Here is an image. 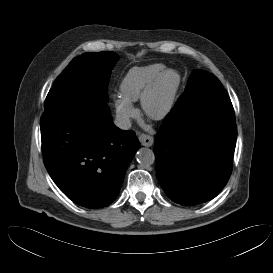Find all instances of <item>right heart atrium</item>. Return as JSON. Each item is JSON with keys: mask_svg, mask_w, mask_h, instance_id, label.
Returning a JSON list of instances; mask_svg holds the SVG:
<instances>
[{"mask_svg": "<svg viewBox=\"0 0 273 273\" xmlns=\"http://www.w3.org/2000/svg\"><path fill=\"white\" fill-rule=\"evenodd\" d=\"M114 106L116 114L123 122L129 121L131 118L138 116V111L134 107L133 103L126 100L121 96H117L114 99Z\"/></svg>", "mask_w": 273, "mask_h": 273, "instance_id": "obj_1", "label": "right heart atrium"}]
</instances>
